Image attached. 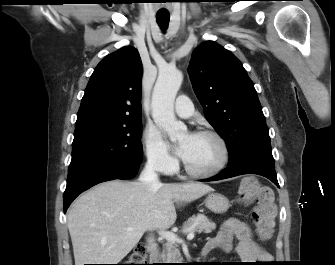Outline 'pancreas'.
Returning <instances> with one entry per match:
<instances>
[{"label": "pancreas", "instance_id": "1", "mask_svg": "<svg viewBox=\"0 0 335 265\" xmlns=\"http://www.w3.org/2000/svg\"><path fill=\"white\" fill-rule=\"evenodd\" d=\"M216 224L209 220L204 214H197L190 217L183 225V231L211 233ZM162 260L166 263H179L183 260L180 250L174 243L165 244L162 252Z\"/></svg>", "mask_w": 335, "mask_h": 265}]
</instances>
